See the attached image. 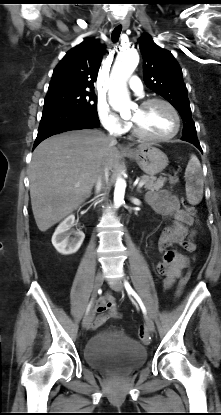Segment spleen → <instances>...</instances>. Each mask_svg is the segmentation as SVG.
<instances>
[{
  "label": "spleen",
  "mask_w": 221,
  "mask_h": 415,
  "mask_svg": "<svg viewBox=\"0 0 221 415\" xmlns=\"http://www.w3.org/2000/svg\"><path fill=\"white\" fill-rule=\"evenodd\" d=\"M186 196L191 204H198L203 197L204 180L201 164L195 155H191L185 170Z\"/></svg>",
  "instance_id": "1"
}]
</instances>
